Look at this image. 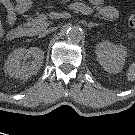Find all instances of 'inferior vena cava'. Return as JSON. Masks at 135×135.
<instances>
[{
  "mask_svg": "<svg viewBox=\"0 0 135 135\" xmlns=\"http://www.w3.org/2000/svg\"><path fill=\"white\" fill-rule=\"evenodd\" d=\"M54 30H55V28H50V29L44 31L42 35H46V34H48V33H51V32H53Z\"/></svg>",
  "mask_w": 135,
  "mask_h": 135,
  "instance_id": "1",
  "label": "inferior vena cava"
}]
</instances>
